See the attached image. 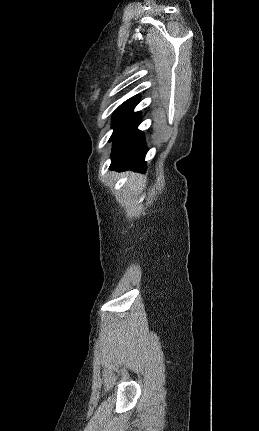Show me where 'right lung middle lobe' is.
<instances>
[{"label": "right lung middle lobe", "instance_id": "right-lung-middle-lobe-1", "mask_svg": "<svg viewBox=\"0 0 259 431\" xmlns=\"http://www.w3.org/2000/svg\"><path fill=\"white\" fill-rule=\"evenodd\" d=\"M139 101L138 96H134L122 103L114 112L112 119V127L115 129L120 123L133 111Z\"/></svg>", "mask_w": 259, "mask_h": 431}]
</instances>
